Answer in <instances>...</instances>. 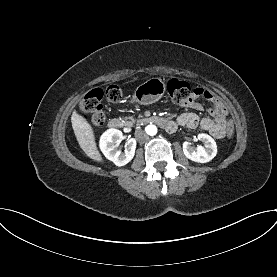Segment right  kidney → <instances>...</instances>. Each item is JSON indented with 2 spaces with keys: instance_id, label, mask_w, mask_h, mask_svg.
<instances>
[{
  "instance_id": "1",
  "label": "right kidney",
  "mask_w": 277,
  "mask_h": 277,
  "mask_svg": "<svg viewBox=\"0 0 277 277\" xmlns=\"http://www.w3.org/2000/svg\"><path fill=\"white\" fill-rule=\"evenodd\" d=\"M123 139V133L117 129H108L100 138V149L104 156L116 166H124L129 163L136 149V140L129 139L125 144L124 152L118 150V143Z\"/></svg>"
}]
</instances>
